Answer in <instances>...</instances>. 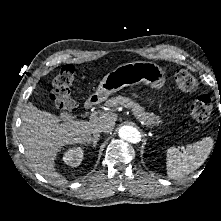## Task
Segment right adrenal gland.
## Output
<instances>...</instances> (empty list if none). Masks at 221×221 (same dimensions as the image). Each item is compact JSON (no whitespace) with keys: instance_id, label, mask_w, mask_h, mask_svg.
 I'll return each mask as SVG.
<instances>
[{"instance_id":"right-adrenal-gland-1","label":"right adrenal gland","mask_w":221,"mask_h":221,"mask_svg":"<svg viewBox=\"0 0 221 221\" xmlns=\"http://www.w3.org/2000/svg\"><path fill=\"white\" fill-rule=\"evenodd\" d=\"M99 137L100 135H96L93 138H91L90 140H88L85 145H90L92 143V147L96 148L97 142L99 141Z\"/></svg>"}]
</instances>
